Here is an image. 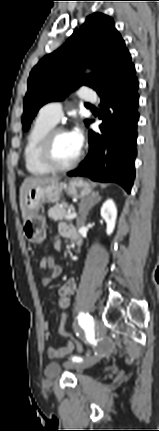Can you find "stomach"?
<instances>
[{
	"instance_id": "0dacf381",
	"label": "stomach",
	"mask_w": 159,
	"mask_h": 431,
	"mask_svg": "<svg viewBox=\"0 0 159 431\" xmlns=\"http://www.w3.org/2000/svg\"><path fill=\"white\" fill-rule=\"evenodd\" d=\"M62 192L74 198H85L91 194L92 187L87 181L76 178L29 189L25 196L27 217L23 224L28 241L40 243L46 238V219L40 208L44 202L57 203Z\"/></svg>"
}]
</instances>
